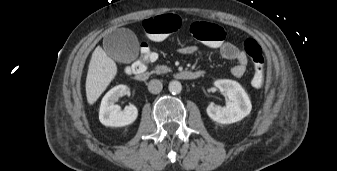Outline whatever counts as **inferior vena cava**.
Here are the masks:
<instances>
[{
  "mask_svg": "<svg viewBox=\"0 0 337 171\" xmlns=\"http://www.w3.org/2000/svg\"><path fill=\"white\" fill-rule=\"evenodd\" d=\"M163 88L162 82L157 79H153L148 84V90L153 94H158Z\"/></svg>",
  "mask_w": 337,
  "mask_h": 171,
  "instance_id": "1",
  "label": "inferior vena cava"
}]
</instances>
